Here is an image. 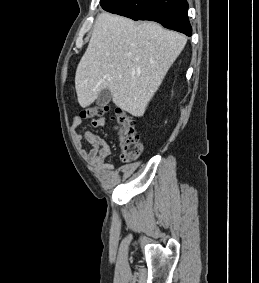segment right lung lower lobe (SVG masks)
Here are the masks:
<instances>
[{
	"instance_id": "obj_1",
	"label": "right lung lower lobe",
	"mask_w": 259,
	"mask_h": 283,
	"mask_svg": "<svg viewBox=\"0 0 259 283\" xmlns=\"http://www.w3.org/2000/svg\"><path fill=\"white\" fill-rule=\"evenodd\" d=\"M102 8L133 20H152L165 28L192 35L186 0H100Z\"/></svg>"
}]
</instances>
